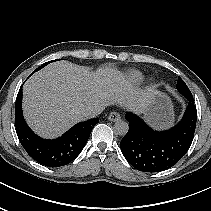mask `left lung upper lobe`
Returning a JSON list of instances; mask_svg holds the SVG:
<instances>
[{
	"instance_id": "left-lung-upper-lobe-1",
	"label": "left lung upper lobe",
	"mask_w": 211,
	"mask_h": 211,
	"mask_svg": "<svg viewBox=\"0 0 211 211\" xmlns=\"http://www.w3.org/2000/svg\"><path fill=\"white\" fill-rule=\"evenodd\" d=\"M177 90L182 94V95H185L187 93H191L189 88L187 87V85L185 84V82L180 78L178 77V81H177Z\"/></svg>"
}]
</instances>
